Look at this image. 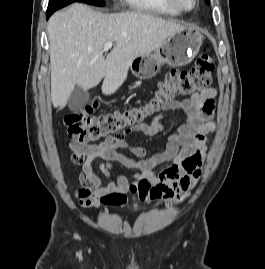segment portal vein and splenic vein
I'll list each match as a JSON object with an SVG mask.
<instances>
[{
  "mask_svg": "<svg viewBox=\"0 0 265 269\" xmlns=\"http://www.w3.org/2000/svg\"><path fill=\"white\" fill-rule=\"evenodd\" d=\"M112 45H113L112 41L107 42L104 46V50H109L112 47Z\"/></svg>",
  "mask_w": 265,
  "mask_h": 269,
  "instance_id": "obj_1",
  "label": "portal vein and splenic vein"
}]
</instances>
